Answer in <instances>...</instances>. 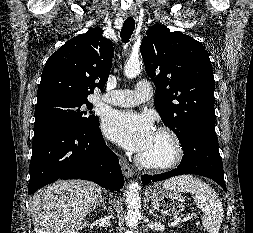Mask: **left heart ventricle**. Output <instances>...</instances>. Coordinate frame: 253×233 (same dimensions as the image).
Instances as JSON below:
<instances>
[{"mask_svg": "<svg viewBox=\"0 0 253 233\" xmlns=\"http://www.w3.org/2000/svg\"><path fill=\"white\" fill-rule=\"evenodd\" d=\"M170 153V144L162 136L155 133L154 138L148 148L144 150L141 155L148 158L161 159L168 156Z\"/></svg>", "mask_w": 253, "mask_h": 233, "instance_id": "left-heart-ventricle-1", "label": "left heart ventricle"}]
</instances>
